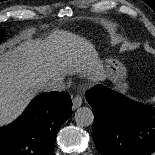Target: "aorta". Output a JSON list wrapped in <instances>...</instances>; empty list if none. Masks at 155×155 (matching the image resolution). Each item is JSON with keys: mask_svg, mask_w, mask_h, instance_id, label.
Instances as JSON below:
<instances>
[{"mask_svg": "<svg viewBox=\"0 0 155 155\" xmlns=\"http://www.w3.org/2000/svg\"><path fill=\"white\" fill-rule=\"evenodd\" d=\"M75 121L81 127L90 126L94 121V115L90 108L81 107L75 112Z\"/></svg>", "mask_w": 155, "mask_h": 155, "instance_id": "aorta-1", "label": "aorta"}]
</instances>
